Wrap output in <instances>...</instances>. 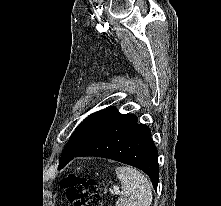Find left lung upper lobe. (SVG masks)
<instances>
[{
  "instance_id": "1",
  "label": "left lung upper lobe",
  "mask_w": 221,
  "mask_h": 206,
  "mask_svg": "<svg viewBox=\"0 0 221 206\" xmlns=\"http://www.w3.org/2000/svg\"><path fill=\"white\" fill-rule=\"evenodd\" d=\"M120 115L116 108L110 107L95 112L83 120L64 148L59 167L84 149Z\"/></svg>"
}]
</instances>
